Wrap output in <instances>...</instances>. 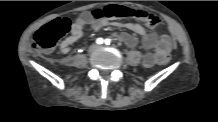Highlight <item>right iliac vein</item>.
I'll list each match as a JSON object with an SVG mask.
<instances>
[{"mask_svg": "<svg viewBox=\"0 0 218 122\" xmlns=\"http://www.w3.org/2000/svg\"><path fill=\"white\" fill-rule=\"evenodd\" d=\"M95 49H96L95 46H91V47H90V51H94Z\"/></svg>", "mask_w": 218, "mask_h": 122, "instance_id": "1", "label": "right iliac vein"}]
</instances>
